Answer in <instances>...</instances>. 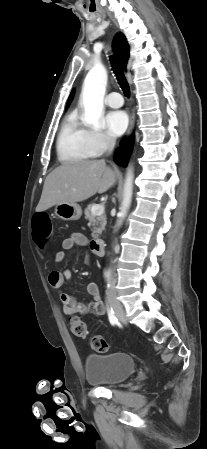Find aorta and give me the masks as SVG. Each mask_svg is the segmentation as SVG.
Wrapping results in <instances>:
<instances>
[{"instance_id":"762f6f07","label":"aorta","mask_w":207,"mask_h":449,"mask_svg":"<svg viewBox=\"0 0 207 449\" xmlns=\"http://www.w3.org/2000/svg\"><path fill=\"white\" fill-rule=\"evenodd\" d=\"M107 84V72L106 69L100 65H94V67L88 72L82 88V102L84 106V115L82 122L87 126L94 128L101 127V117L103 113V98L105 95ZM133 187V174L130 170L127 174L126 184L124 189V199L121 210L118 214L121 223L125 217L126 212L131 203Z\"/></svg>"}]
</instances>
